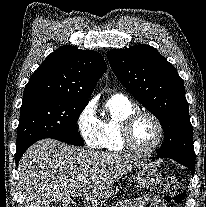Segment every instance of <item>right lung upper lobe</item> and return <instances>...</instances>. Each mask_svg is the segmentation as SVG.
<instances>
[{
  "label": "right lung upper lobe",
  "instance_id": "obj_1",
  "mask_svg": "<svg viewBox=\"0 0 206 207\" xmlns=\"http://www.w3.org/2000/svg\"><path fill=\"white\" fill-rule=\"evenodd\" d=\"M105 71L106 64L98 52L62 46L51 53L30 77L23 101L48 96L88 103Z\"/></svg>",
  "mask_w": 206,
  "mask_h": 207
}]
</instances>
